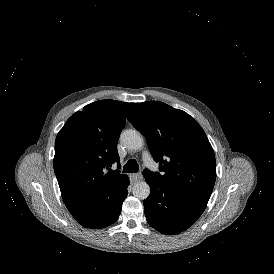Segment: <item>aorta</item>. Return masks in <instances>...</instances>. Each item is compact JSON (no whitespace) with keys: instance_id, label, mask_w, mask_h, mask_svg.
I'll return each mask as SVG.
<instances>
[{"instance_id":"obj_1","label":"aorta","mask_w":274,"mask_h":274,"mask_svg":"<svg viewBox=\"0 0 274 274\" xmlns=\"http://www.w3.org/2000/svg\"><path fill=\"white\" fill-rule=\"evenodd\" d=\"M120 141L129 150H140L144 145L143 136L135 130H125L121 133ZM133 195L141 200L150 195V186L145 181L137 182L133 186Z\"/></svg>"}]
</instances>
